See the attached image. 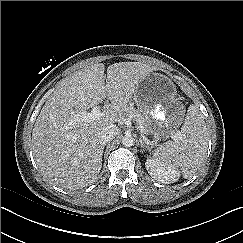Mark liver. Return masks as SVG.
<instances>
[{
    "label": "liver",
    "mask_w": 243,
    "mask_h": 243,
    "mask_svg": "<svg viewBox=\"0 0 243 243\" xmlns=\"http://www.w3.org/2000/svg\"><path fill=\"white\" fill-rule=\"evenodd\" d=\"M157 68L143 62L94 63L63 79L32 130V150L41 172L55 185L75 190L93 183L102 167L104 127L120 122L137 85ZM103 116L81 119L103 100Z\"/></svg>",
    "instance_id": "liver-1"
}]
</instances>
